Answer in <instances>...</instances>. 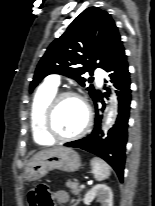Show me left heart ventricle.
<instances>
[{"label": "left heart ventricle", "instance_id": "left-heart-ventricle-1", "mask_svg": "<svg viewBox=\"0 0 155 206\" xmlns=\"http://www.w3.org/2000/svg\"><path fill=\"white\" fill-rule=\"evenodd\" d=\"M86 113L82 103L75 98H64L55 110L53 125L58 134L68 136L84 125Z\"/></svg>", "mask_w": 155, "mask_h": 206}]
</instances>
